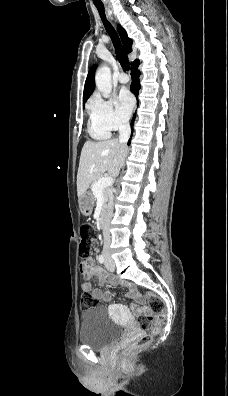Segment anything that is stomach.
<instances>
[{"label": "stomach", "mask_w": 228, "mask_h": 396, "mask_svg": "<svg viewBox=\"0 0 228 396\" xmlns=\"http://www.w3.org/2000/svg\"><path fill=\"white\" fill-rule=\"evenodd\" d=\"M94 196L90 191H86L79 198V208L84 216H89L92 213L94 206Z\"/></svg>", "instance_id": "obj_1"}]
</instances>
